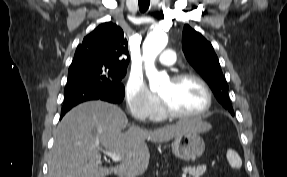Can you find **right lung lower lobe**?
Masks as SVG:
<instances>
[{"mask_svg": "<svg viewBox=\"0 0 287 177\" xmlns=\"http://www.w3.org/2000/svg\"><path fill=\"white\" fill-rule=\"evenodd\" d=\"M65 99L61 110V118L72 107L90 100H104L120 103L124 98V86L108 85L93 80H77L67 82L64 90Z\"/></svg>", "mask_w": 287, "mask_h": 177, "instance_id": "obj_1", "label": "right lung lower lobe"}]
</instances>
